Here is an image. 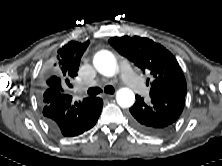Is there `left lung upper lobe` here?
<instances>
[{"instance_id": "5c2ea615", "label": "left lung upper lobe", "mask_w": 222, "mask_h": 166, "mask_svg": "<svg viewBox=\"0 0 222 166\" xmlns=\"http://www.w3.org/2000/svg\"><path fill=\"white\" fill-rule=\"evenodd\" d=\"M109 43L121 55L154 77L150 94L171 91L186 95L184 74L173 54L162 45L138 36L112 37Z\"/></svg>"}]
</instances>
